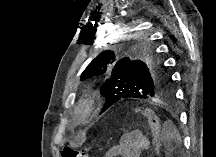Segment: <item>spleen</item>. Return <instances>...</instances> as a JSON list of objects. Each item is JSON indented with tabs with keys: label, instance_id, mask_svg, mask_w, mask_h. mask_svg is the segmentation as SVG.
Wrapping results in <instances>:
<instances>
[{
	"label": "spleen",
	"instance_id": "3e777b00",
	"mask_svg": "<svg viewBox=\"0 0 216 157\" xmlns=\"http://www.w3.org/2000/svg\"><path fill=\"white\" fill-rule=\"evenodd\" d=\"M165 126L168 127V130H164L161 135V141L164 144L167 151H172L175 148H182V139L178 130L174 127L171 121L165 123Z\"/></svg>",
	"mask_w": 216,
	"mask_h": 157
}]
</instances>
